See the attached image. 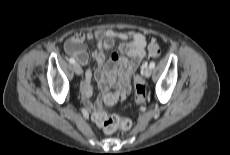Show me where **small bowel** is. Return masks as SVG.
Returning a JSON list of instances; mask_svg holds the SVG:
<instances>
[{
  "mask_svg": "<svg viewBox=\"0 0 230 155\" xmlns=\"http://www.w3.org/2000/svg\"><path fill=\"white\" fill-rule=\"evenodd\" d=\"M120 40L119 50L123 55L113 53L105 64V52L115 46ZM85 41H96L97 47L92 57L98 63V68L92 72L88 69L81 85L82 101L88 111L94 112L103 105H113L124 100L131 90V77L137 71L145 56L146 37L136 31L114 32L112 30H97L89 33H78L70 37L65 44L68 55L77 60L80 65H86L88 55L82 44ZM94 74L102 95L92 102L91 78ZM116 88L115 92H109ZM111 98H114L111 100Z\"/></svg>",
  "mask_w": 230,
  "mask_h": 155,
  "instance_id": "c3829d8e",
  "label": "small bowel"
}]
</instances>
